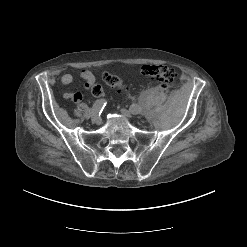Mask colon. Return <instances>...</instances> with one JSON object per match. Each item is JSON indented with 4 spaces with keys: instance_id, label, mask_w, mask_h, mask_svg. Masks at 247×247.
Instances as JSON below:
<instances>
[{
    "instance_id": "5ec220e1",
    "label": "colon",
    "mask_w": 247,
    "mask_h": 247,
    "mask_svg": "<svg viewBox=\"0 0 247 247\" xmlns=\"http://www.w3.org/2000/svg\"><path fill=\"white\" fill-rule=\"evenodd\" d=\"M139 71L142 75L150 77L165 89L174 85L177 78L176 72L165 65H142L139 68ZM103 79L108 86L117 92H125L127 90L126 84L117 76L104 73ZM91 91L95 96H100L103 94L102 86L99 84L94 85Z\"/></svg>"
}]
</instances>
